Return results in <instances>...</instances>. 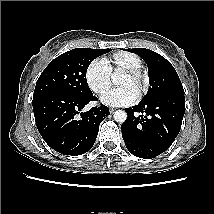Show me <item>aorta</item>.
<instances>
[{
  "mask_svg": "<svg viewBox=\"0 0 214 214\" xmlns=\"http://www.w3.org/2000/svg\"><path fill=\"white\" fill-rule=\"evenodd\" d=\"M111 78L113 82H117L118 75L114 73ZM114 120L119 123H124L127 120V113L123 110H116L114 112Z\"/></svg>",
  "mask_w": 214,
  "mask_h": 214,
  "instance_id": "762f6f07",
  "label": "aorta"
}]
</instances>
